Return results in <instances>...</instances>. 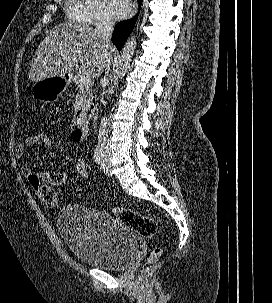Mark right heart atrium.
<instances>
[{
    "mask_svg": "<svg viewBox=\"0 0 272 303\" xmlns=\"http://www.w3.org/2000/svg\"><path fill=\"white\" fill-rule=\"evenodd\" d=\"M88 12L89 23L91 24H107L112 21V18L102 0H85Z\"/></svg>",
    "mask_w": 272,
    "mask_h": 303,
    "instance_id": "obj_1",
    "label": "right heart atrium"
}]
</instances>
